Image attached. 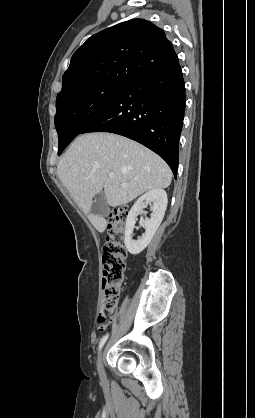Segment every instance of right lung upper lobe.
Instances as JSON below:
<instances>
[{
  "instance_id": "1",
  "label": "right lung upper lobe",
  "mask_w": 255,
  "mask_h": 418,
  "mask_svg": "<svg viewBox=\"0 0 255 418\" xmlns=\"http://www.w3.org/2000/svg\"><path fill=\"white\" fill-rule=\"evenodd\" d=\"M178 61L164 31L143 19H132L86 40L73 54L62 90L111 81L130 84L138 77Z\"/></svg>"
}]
</instances>
